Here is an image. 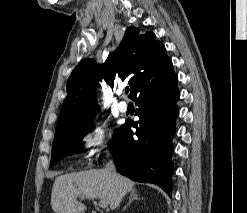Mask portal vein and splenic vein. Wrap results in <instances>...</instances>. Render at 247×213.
<instances>
[{"label":"portal vein and splenic vein","mask_w":247,"mask_h":213,"mask_svg":"<svg viewBox=\"0 0 247 213\" xmlns=\"http://www.w3.org/2000/svg\"><path fill=\"white\" fill-rule=\"evenodd\" d=\"M98 204H99V206H100L101 208H107V207H108V202H107L106 200H100V201L98 202Z\"/></svg>","instance_id":"18ae733b"}]
</instances>
